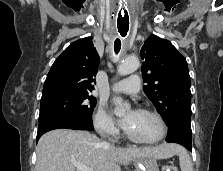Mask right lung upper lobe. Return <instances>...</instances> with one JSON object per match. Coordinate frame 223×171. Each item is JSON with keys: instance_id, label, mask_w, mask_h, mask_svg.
Returning a JSON list of instances; mask_svg holds the SVG:
<instances>
[{"instance_id": "obj_1", "label": "right lung upper lobe", "mask_w": 223, "mask_h": 171, "mask_svg": "<svg viewBox=\"0 0 223 171\" xmlns=\"http://www.w3.org/2000/svg\"><path fill=\"white\" fill-rule=\"evenodd\" d=\"M99 55L92 38L71 43L53 63L44 83L42 98L66 92H88L94 86Z\"/></svg>"}]
</instances>
